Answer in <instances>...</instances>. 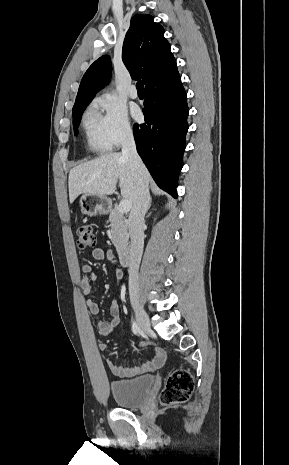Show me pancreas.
Wrapping results in <instances>:
<instances>
[{"label":"pancreas","mask_w":289,"mask_h":465,"mask_svg":"<svg viewBox=\"0 0 289 465\" xmlns=\"http://www.w3.org/2000/svg\"><path fill=\"white\" fill-rule=\"evenodd\" d=\"M111 240L117 252H122L128 245V223L123 214L114 208L110 212Z\"/></svg>","instance_id":"cf45deb5"}]
</instances>
